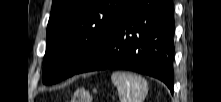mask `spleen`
Segmentation results:
<instances>
[{
  "label": "spleen",
  "instance_id": "spleen-1",
  "mask_svg": "<svg viewBox=\"0 0 221 102\" xmlns=\"http://www.w3.org/2000/svg\"><path fill=\"white\" fill-rule=\"evenodd\" d=\"M121 102H143L148 93L147 81L140 75L116 71L111 75Z\"/></svg>",
  "mask_w": 221,
  "mask_h": 102
}]
</instances>
